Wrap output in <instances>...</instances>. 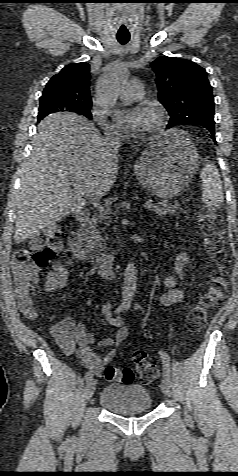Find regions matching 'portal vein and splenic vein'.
<instances>
[{"mask_svg": "<svg viewBox=\"0 0 238 476\" xmlns=\"http://www.w3.org/2000/svg\"><path fill=\"white\" fill-rule=\"evenodd\" d=\"M73 187L78 191V193L82 196L87 195L81 188V185L73 183ZM92 204L101 212V213H108V211L105 209L103 205H101L98 200H94ZM154 205L151 200L146 201L144 208L145 209H151L153 208Z\"/></svg>", "mask_w": 238, "mask_h": 476, "instance_id": "obj_1", "label": "portal vein and splenic vein"}]
</instances>
